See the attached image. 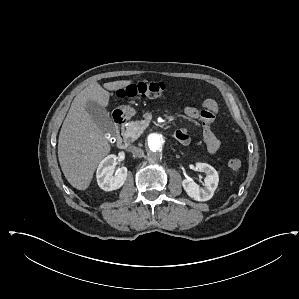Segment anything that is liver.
Masks as SVG:
<instances>
[{
    "mask_svg": "<svg viewBox=\"0 0 299 299\" xmlns=\"http://www.w3.org/2000/svg\"><path fill=\"white\" fill-rule=\"evenodd\" d=\"M131 80L92 83L73 100L63 122L58 140V158L67 181L78 190H86L100 161L110 153L111 147L103 131L86 110L87 102L101 107L109 104V91L123 89Z\"/></svg>",
    "mask_w": 299,
    "mask_h": 299,
    "instance_id": "1",
    "label": "liver"
}]
</instances>
